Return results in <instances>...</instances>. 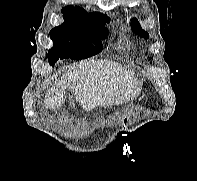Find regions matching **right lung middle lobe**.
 <instances>
[{
	"label": "right lung middle lobe",
	"instance_id": "1",
	"mask_svg": "<svg viewBox=\"0 0 197 181\" xmlns=\"http://www.w3.org/2000/svg\"><path fill=\"white\" fill-rule=\"evenodd\" d=\"M110 22L107 16L86 17L78 20H64L63 24L50 31L53 47L48 51L50 65L58 59H85L98 54L107 37L104 26Z\"/></svg>",
	"mask_w": 197,
	"mask_h": 181
}]
</instances>
